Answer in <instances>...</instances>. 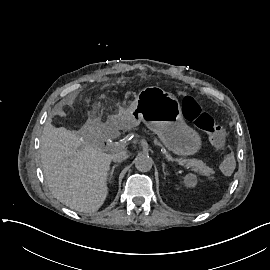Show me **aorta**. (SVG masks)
Returning <instances> with one entry per match:
<instances>
[{
  "label": "aorta",
  "mask_w": 270,
  "mask_h": 270,
  "mask_svg": "<svg viewBox=\"0 0 270 270\" xmlns=\"http://www.w3.org/2000/svg\"><path fill=\"white\" fill-rule=\"evenodd\" d=\"M153 160L147 155H138L135 158V167L141 172H147L152 168Z\"/></svg>",
  "instance_id": "762f6f07"
}]
</instances>
